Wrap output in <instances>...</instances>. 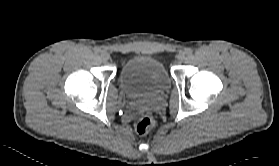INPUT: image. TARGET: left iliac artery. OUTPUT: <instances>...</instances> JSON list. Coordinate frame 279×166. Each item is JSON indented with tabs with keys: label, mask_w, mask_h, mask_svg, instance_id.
Returning a JSON list of instances; mask_svg holds the SVG:
<instances>
[{
	"label": "left iliac artery",
	"mask_w": 279,
	"mask_h": 166,
	"mask_svg": "<svg viewBox=\"0 0 279 166\" xmlns=\"http://www.w3.org/2000/svg\"><path fill=\"white\" fill-rule=\"evenodd\" d=\"M185 52H186L187 55H192L193 50H192L191 48H187V49L185 50Z\"/></svg>",
	"instance_id": "obj_1"
}]
</instances>
